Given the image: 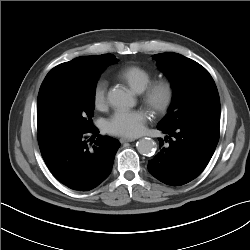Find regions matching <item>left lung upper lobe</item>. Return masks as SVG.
I'll return each instance as SVG.
<instances>
[{"instance_id":"5c2ea615","label":"left lung upper lobe","mask_w":250,"mask_h":250,"mask_svg":"<svg viewBox=\"0 0 250 250\" xmlns=\"http://www.w3.org/2000/svg\"><path fill=\"white\" fill-rule=\"evenodd\" d=\"M155 59L174 90L172 104L159 127L174 129L188 121L220 116L216 85L203 66L174 52L156 54Z\"/></svg>"}]
</instances>
